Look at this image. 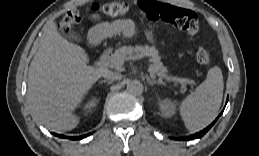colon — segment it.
Listing matches in <instances>:
<instances>
[{
	"instance_id": "obj_1",
	"label": "colon",
	"mask_w": 259,
	"mask_h": 156,
	"mask_svg": "<svg viewBox=\"0 0 259 156\" xmlns=\"http://www.w3.org/2000/svg\"><path fill=\"white\" fill-rule=\"evenodd\" d=\"M140 7L150 20H161L182 29L189 34H196L199 30L197 15L182 7H177L165 3H158L153 0H141ZM129 10L128 4L124 2H108L105 4H92L87 11L103 12L110 17L125 15ZM82 12L72 9L65 13L60 21V29L68 33L76 24L81 21ZM196 59L200 64H207L210 61V53L204 46H200L196 52Z\"/></svg>"
}]
</instances>
